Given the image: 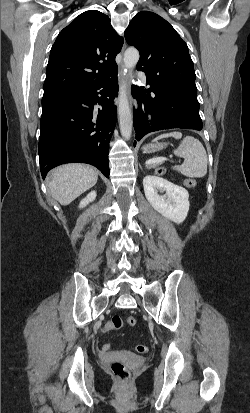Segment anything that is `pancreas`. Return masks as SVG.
Returning a JSON list of instances; mask_svg holds the SVG:
<instances>
[{
    "instance_id": "pancreas-1",
    "label": "pancreas",
    "mask_w": 250,
    "mask_h": 413,
    "mask_svg": "<svg viewBox=\"0 0 250 413\" xmlns=\"http://www.w3.org/2000/svg\"><path fill=\"white\" fill-rule=\"evenodd\" d=\"M156 166H157V163H154V164L150 165L149 168L150 167H156Z\"/></svg>"
}]
</instances>
